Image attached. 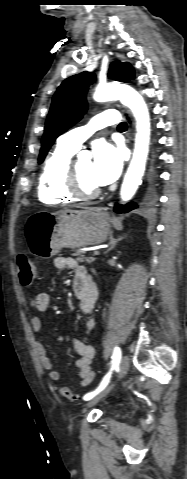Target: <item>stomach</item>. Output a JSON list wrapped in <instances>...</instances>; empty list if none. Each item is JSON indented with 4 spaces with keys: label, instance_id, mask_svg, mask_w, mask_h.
Segmentation results:
<instances>
[{
    "label": "stomach",
    "instance_id": "1",
    "mask_svg": "<svg viewBox=\"0 0 187 479\" xmlns=\"http://www.w3.org/2000/svg\"><path fill=\"white\" fill-rule=\"evenodd\" d=\"M109 215L100 208L39 211L31 215L24 233L30 252L49 259L63 247L100 244L111 234Z\"/></svg>",
    "mask_w": 187,
    "mask_h": 479
}]
</instances>
